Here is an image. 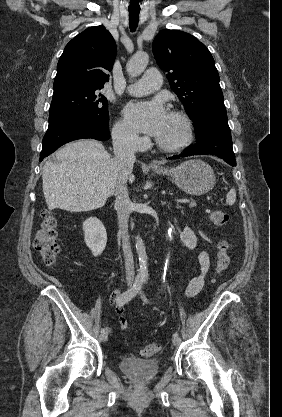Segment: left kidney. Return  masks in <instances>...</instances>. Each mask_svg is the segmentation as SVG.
<instances>
[{
	"instance_id": "obj_1",
	"label": "left kidney",
	"mask_w": 282,
	"mask_h": 417,
	"mask_svg": "<svg viewBox=\"0 0 282 417\" xmlns=\"http://www.w3.org/2000/svg\"><path fill=\"white\" fill-rule=\"evenodd\" d=\"M180 241H182L183 245L193 251L197 245V237L189 227H185L183 233H180Z\"/></svg>"
}]
</instances>
